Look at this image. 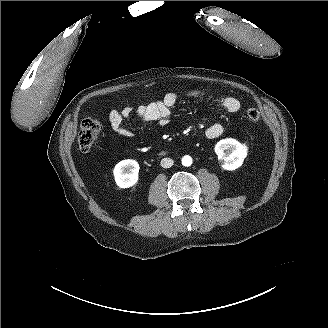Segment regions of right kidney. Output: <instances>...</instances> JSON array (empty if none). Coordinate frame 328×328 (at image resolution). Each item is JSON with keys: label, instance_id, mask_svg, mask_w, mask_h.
<instances>
[{"label": "right kidney", "instance_id": "obj_1", "mask_svg": "<svg viewBox=\"0 0 328 328\" xmlns=\"http://www.w3.org/2000/svg\"><path fill=\"white\" fill-rule=\"evenodd\" d=\"M139 164L135 160L120 161L114 168V177L121 188L133 186L138 180Z\"/></svg>", "mask_w": 328, "mask_h": 328}]
</instances>
